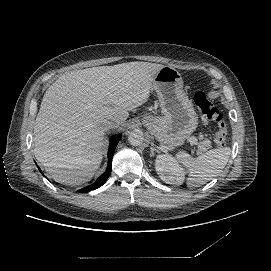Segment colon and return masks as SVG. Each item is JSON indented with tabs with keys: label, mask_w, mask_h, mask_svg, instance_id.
<instances>
[{
	"label": "colon",
	"mask_w": 271,
	"mask_h": 271,
	"mask_svg": "<svg viewBox=\"0 0 271 271\" xmlns=\"http://www.w3.org/2000/svg\"><path fill=\"white\" fill-rule=\"evenodd\" d=\"M194 102L205 122L215 123V143L222 146L226 143L228 130L222 114L208 98L206 92L199 91L194 96Z\"/></svg>",
	"instance_id": "obj_1"
}]
</instances>
